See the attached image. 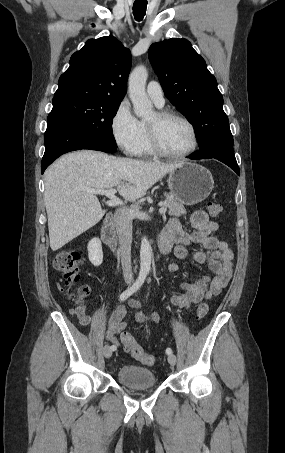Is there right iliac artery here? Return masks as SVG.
I'll return each mask as SVG.
<instances>
[{
	"label": "right iliac artery",
	"mask_w": 285,
	"mask_h": 453,
	"mask_svg": "<svg viewBox=\"0 0 285 453\" xmlns=\"http://www.w3.org/2000/svg\"><path fill=\"white\" fill-rule=\"evenodd\" d=\"M146 275H147L146 273L141 272L139 274L137 280L135 281V283L130 288H128L127 290L123 291V293L120 295V300L121 301H125L134 292H136L142 286V284L144 283ZM111 349L115 350L116 347L115 346H111Z\"/></svg>",
	"instance_id": "82829eb1"
}]
</instances>
